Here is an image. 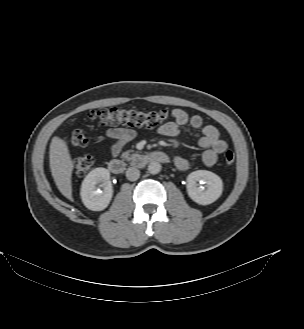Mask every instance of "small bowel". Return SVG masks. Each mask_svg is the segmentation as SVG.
Segmentation results:
<instances>
[{
    "label": "small bowel",
    "mask_w": 304,
    "mask_h": 329,
    "mask_svg": "<svg viewBox=\"0 0 304 329\" xmlns=\"http://www.w3.org/2000/svg\"><path fill=\"white\" fill-rule=\"evenodd\" d=\"M170 115L171 119L160 125L157 132L162 136L174 138L182 137L187 127L201 130L202 135L198 140V145L205 149L202 154L204 165L213 166L219 155L227 150V142L220 138L217 128L211 124H205L200 115H190L181 108L171 110ZM106 138L111 142V155L116 157L135 138V131L126 127H113L106 131ZM173 162L180 170H187L191 167V161L182 156H175Z\"/></svg>",
    "instance_id": "1"
}]
</instances>
